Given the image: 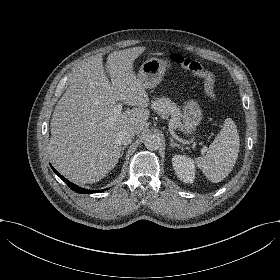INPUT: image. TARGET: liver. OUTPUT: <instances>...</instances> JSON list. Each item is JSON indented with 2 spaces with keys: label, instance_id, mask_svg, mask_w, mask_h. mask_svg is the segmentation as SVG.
Wrapping results in <instances>:
<instances>
[{
  "label": "liver",
  "instance_id": "6515ba94",
  "mask_svg": "<svg viewBox=\"0 0 280 280\" xmlns=\"http://www.w3.org/2000/svg\"><path fill=\"white\" fill-rule=\"evenodd\" d=\"M143 51L133 47L111 53L110 79L101 56L87 59L71 74L53 112L49 151L57 169L72 181L101 180L119 160L117 132L139 134L147 126L148 95L131 70L132 61ZM119 102L137 107L121 112Z\"/></svg>",
  "mask_w": 280,
  "mask_h": 280
}]
</instances>
